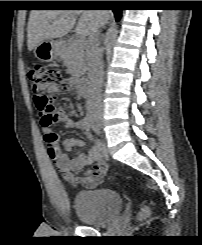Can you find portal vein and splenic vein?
<instances>
[{
    "label": "portal vein and splenic vein",
    "instance_id": "1",
    "mask_svg": "<svg viewBox=\"0 0 202 245\" xmlns=\"http://www.w3.org/2000/svg\"><path fill=\"white\" fill-rule=\"evenodd\" d=\"M85 43V40L83 37L81 36H77L76 39H75V44H84Z\"/></svg>",
    "mask_w": 202,
    "mask_h": 245
}]
</instances>
